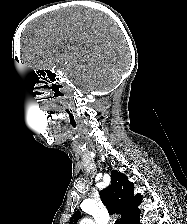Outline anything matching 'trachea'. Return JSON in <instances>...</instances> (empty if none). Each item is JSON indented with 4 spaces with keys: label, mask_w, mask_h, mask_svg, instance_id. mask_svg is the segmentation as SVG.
<instances>
[{
    "label": "trachea",
    "mask_w": 187,
    "mask_h": 224,
    "mask_svg": "<svg viewBox=\"0 0 187 224\" xmlns=\"http://www.w3.org/2000/svg\"><path fill=\"white\" fill-rule=\"evenodd\" d=\"M115 224H120V221H119V220H116V221H115Z\"/></svg>",
    "instance_id": "obj_1"
}]
</instances>
